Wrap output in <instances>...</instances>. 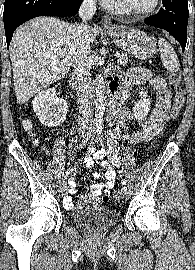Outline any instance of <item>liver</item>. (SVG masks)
<instances>
[{
  "instance_id": "1",
  "label": "liver",
  "mask_w": 195,
  "mask_h": 270,
  "mask_svg": "<svg viewBox=\"0 0 195 270\" xmlns=\"http://www.w3.org/2000/svg\"><path fill=\"white\" fill-rule=\"evenodd\" d=\"M75 28L54 17H38L16 29L10 44V59L19 103H26L68 73ZM89 35L93 42L97 28L91 26Z\"/></svg>"
}]
</instances>
